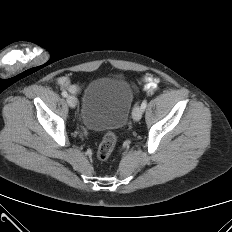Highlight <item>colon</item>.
I'll return each instance as SVG.
<instances>
[{
  "label": "colon",
  "instance_id": "5ec220e1",
  "mask_svg": "<svg viewBox=\"0 0 232 232\" xmlns=\"http://www.w3.org/2000/svg\"><path fill=\"white\" fill-rule=\"evenodd\" d=\"M116 144V136L112 132H108L104 135L101 143L97 149V157L100 160H106L112 154Z\"/></svg>",
  "mask_w": 232,
  "mask_h": 232
}]
</instances>
